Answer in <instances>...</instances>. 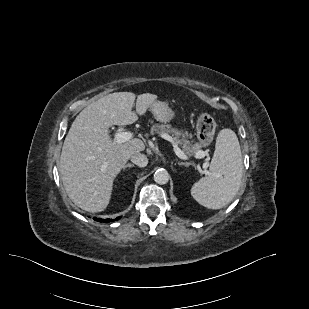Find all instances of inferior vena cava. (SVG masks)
<instances>
[{
	"instance_id": "inferior-vena-cava-1",
	"label": "inferior vena cava",
	"mask_w": 309,
	"mask_h": 309,
	"mask_svg": "<svg viewBox=\"0 0 309 309\" xmlns=\"http://www.w3.org/2000/svg\"><path fill=\"white\" fill-rule=\"evenodd\" d=\"M131 161L139 167H145L148 164L147 157L140 153L136 152L130 157Z\"/></svg>"
}]
</instances>
